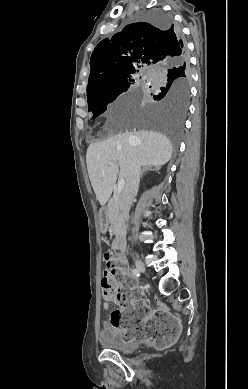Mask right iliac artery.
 <instances>
[{
    "mask_svg": "<svg viewBox=\"0 0 248 389\" xmlns=\"http://www.w3.org/2000/svg\"><path fill=\"white\" fill-rule=\"evenodd\" d=\"M132 273H133V275H135V276H139V275H140L138 269H133V270H132Z\"/></svg>",
    "mask_w": 248,
    "mask_h": 389,
    "instance_id": "1",
    "label": "right iliac artery"
}]
</instances>
